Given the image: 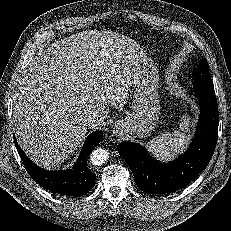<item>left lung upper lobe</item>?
I'll list each match as a JSON object with an SVG mask.
<instances>
[{
    "mask_svg": "<svg viewBox=\"0 0 231 231\" xmlns=\"http://www.w3.org/2000/svg\"><path fill=\"white\" fill-rule=\"evenodd\" d=\"M195 82H201L205 84H213L210 74H209V66L206 59H203L199 67L192 74Z\"/></svg>",
    "mask_w": 231,
    "mask_h": 231,
    "instance_id": "5c2ea615",
    "label": "left lung upper lobe"
}]
</instances>
